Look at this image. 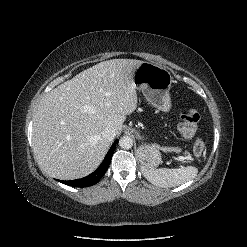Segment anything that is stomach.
Instances as JSON below:
<instances>
[{
    "mask_svg": "<svg viewBox=\"0 0 247 247\" xmlns=\"http://www.w3.org/2000/svg\"><path fill=\"white\" fill-rule=\"evenodd\" d=\"M173 80L170 72L151 62H142L133 73V83L141 91L149 104L158 110L168 112L171 109L169 90ZM136 134L140 140L143 136L133 128H127ZM140 162L146 168H155L162 161L159 149L151 145H141L137 150Z\"/></svg>",
    "mask_w": 247,
    "mask_h": 247,
    "instance_id": "stomach-1",
    "label": "stomach"
}]
</instances>
